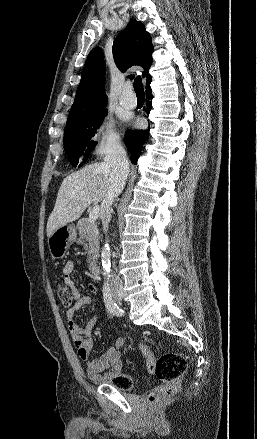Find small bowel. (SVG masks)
Returning <instances> with one entry per match:
<instances>
[{"mask_svg":"<svg viewBox=\"0 0 257 439\" xmlns=\"http://www.w3.org/2000/svg\"><path fill=\"white\" fill-rule=\"evenodd\" d=\"M73 272L74 264L72 262H67L63 266L62 274L65 284L73 290L75 295V303L66 311L68 330L79 358L85 362V369L88 378L95 383H107L122 370L123 349L126 340L124 337L118 338L115 344L103 355L96 359H90L93 349L91 334L97 323L98 317L94 316L89 319L84 327L79 326L75 321L77 312L82 307L90 304L91 299L88 296L80 295L71 278ZM91 288L96 290L94 286H91Z\"/></svg>","mask_w":257,"mask_h":439,"instance_id":"c3829d8e","label":"small bowel"}]
</instances>
